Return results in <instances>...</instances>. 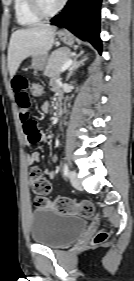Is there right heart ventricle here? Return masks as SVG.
Returning a JSON list of instances; mask_svg holds the SVG:
<instances>
[{"mask_svg": "<svg viewBox=\"0 0 134 281\" xmlns=\"http://www.w3.org/2000/svg\"><path fill=\"white\" fill-rule=\"evenodd\" d=\"M13 7L16 21L20 26L30 27L40 23L41 17L33 12L29 0H14Z\"/></svg>", "mask_w": 134, "mask_h": 281, "instance_id": "obj_1", "label": "right heart ventricle"}]
</instances>
